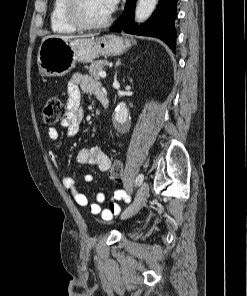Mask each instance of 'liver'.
I'll use <instances>...</instances> for the list:
<instances>
[{
	"label": "liver",
	"mask_w": 247,
	"mask_h": 296,
	"mask_svg": "<svg viewBox=\"0 0 247 296\" xmlns=\"http://www.w3.org/2000/svg\"><path fill=\"white\" fill-rule=\"evenodd\" d=\"M48 37H58V38H61V39H64V40H71L73 38H77L78 36H73V35H52V36H46L43 38L46 39Z\"/></svg>",
	"instance_id": "obj_1"
}]
</instances>
